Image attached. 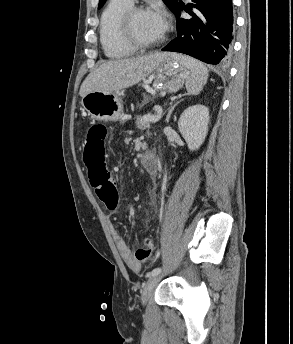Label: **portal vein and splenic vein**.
I'll return each mask as SVG.
<instances>
[{"mask_svg":"<svg viewBox=\"0 0 293 344\" xmlns=\"http://www.w3.org/2000/svg\"><path fill=\"white\" fill-rule=\"evenodd\" d=\"M150 120H151V121H156V120H157V118H151Z\"/></svg>","mask_w":293,"mask_h":344,"instance_id":"obj_1","label":"portal vein and splenic vein"}]
</instances>
